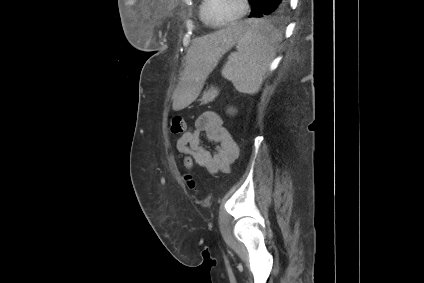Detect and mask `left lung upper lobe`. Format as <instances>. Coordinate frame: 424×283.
Segmentation results:
<instances>
[{
	"instance_id": "obj_1",
	"label": "left lung upper lobe",
	"mask_w": 424,
	"mask_h": 283,
	"mask_svg": "<svg viewBox=\"0 0 424 283\" xmlns=\"http://www.w3.org/2000/svg\"><path fill=\"white\" fill-rule=\"evenodd\" d=\"M257 1L258 0H249V2H250V4L252 5V12H251V14L255 11V7H256V5H257ZM283 12V10H278L276 13H274L273 15H278V14H280V13H282Z\"/></svg>"
}]
</instances>
